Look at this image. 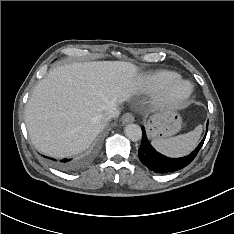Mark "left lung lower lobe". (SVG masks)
<instances>
[{
    "mask_svg": "<svg viewBox=\"0 0 234 234\" xmlns=\"http://www.w3.org/2000/svg\"><path fill=\"white\" fill-rule=\"evenodd\" d=\"M208 131V123L206 128V134ZM206 135L203 140L197 146V148L190 153L189 155L181 158H169L160 153H158L149 143L145 129L142 127V142L141 146L138 149V155L140 161L148 167L150 170L155 171L157 173H167L174 172L186 167L191 161L196 157L199 150L201 149Z\"/></svg>",
    "mask_w": 234,
    "mask_h": 234,
    "instance_id": "1",
    "label": "left lung lower lobe"
}]
</instances>
